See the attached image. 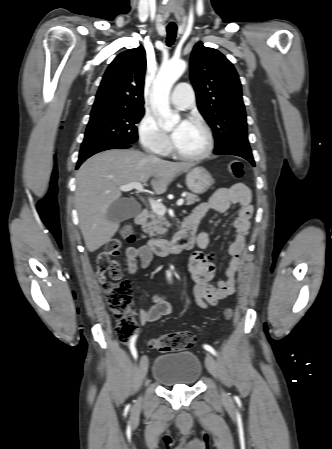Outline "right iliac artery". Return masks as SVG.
<instances>
[{
	"mask_svg": "<svg viewBox=\"0 0 332 449\" xmlns=\"http://www.w3.org/2000/svg\"><path fill=\"white\" fill-rule=\"evenodd\" d=\"M136 338H137L136 335L133 336L132 339L130 340V343H129L130 351H131V353H132V355H133V357L135 359H137V350H136V347H135Z\"/></svg>",
	"mask_w": 332,
	"mask_h": 449,
	"instance_id": "obj_1",
	"label": "right iliac artery"
}]
</instances>
